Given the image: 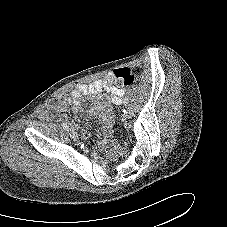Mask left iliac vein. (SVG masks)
<instances>
[{"instance_id": "left-iliac-vein-1", "label": "left iliac vein", "mask_w": 227, "mask_h": 227, "mask_svg": "<svg viewBox=\"0 0 227 227\" xmlns=\"http://www.w3.org/2000/svg\"><path fill=\"white\" fill-rule=\"evenodd\" d=\"M126 118L131 119L134 116V110L132 107L128 106L125 113Z\"/></svg>"}]
</instances>
